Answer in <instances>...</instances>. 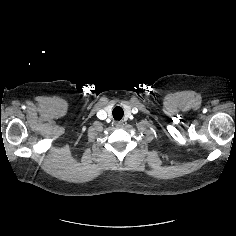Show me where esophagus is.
Wrapping results in <instances>:
<instances>
[{
  "label": "esophagus",
  "mask_w": 236,
  "mask_h": 236,
  "mask_svg": "<svg viewBox=\"0 0 236 236\" xmlns=\"http://www.w3.org/2000/svg\"><path fill=\"white\" fill-rule=\"evenodd\" d=\"M122 126H123V122H121V121L116 122V127L117 128H120Z\"/></svg>",
  "instance_id": "obj_1"
}]
</instances>
